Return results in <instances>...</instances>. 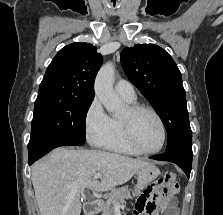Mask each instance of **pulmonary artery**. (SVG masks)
<instances>
[{
  "instance_id": "e3ab8cb5",
  "label": "pulmonary artery",
  "mask_w": 223,
  "mask_h": 215,
  "mask_svg": "<svg viewBox=\"0 0 223 215\" xmlns=\"http://www.w3.org/2000/svg\"><path fill=\"white\" fill-rule=\"evenodd\" d=\"M115 92L128 101H134L136 94L130 82L124 79L118 80L114 85Z\"/></svg>"
}]
</instances>
